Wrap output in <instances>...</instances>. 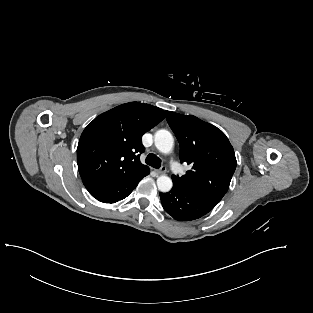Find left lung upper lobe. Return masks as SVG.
I'll use <instances>...</instances> for the list:
<instances>
[{"label": "left lung upper lobe", "mask_w": 313, "mask_h": 313, "mask_svg": "<svg viewBox=\"0 0 313 313\" xmlns=\"http://www.w3.org/2000/svg\"><path fill=\"white\" fill-rule=\"evenodd\" d=\"M167 122L180 144V160L191 165L173 183L184 191L218 203L229 189L237 162L226 135L195 116L166 111Z\"/></svg>", "instance_id": "5c2ea615"}]
</instances>
